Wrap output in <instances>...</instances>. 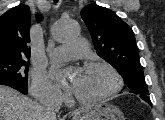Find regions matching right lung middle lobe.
Here are the masks:
<instances>
[{
  "label": "right lung middle lobe",
  "mask_w": 165,
  "mask_h": 120,
  "mask_svg": "<svg viewBox=\"0 0 165 120\" xmlns=\"http://www.w3.org/2000/svg\"><path fill=\"white\" fill-rule=\"evenodd\" d=\"M28 59L29 58L0 59V84H15L28 88Z\"/></svg>",
  "instance_id": "1"
}]
</instances>
